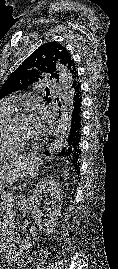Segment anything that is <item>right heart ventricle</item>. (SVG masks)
Instances as JSON below:
<instances>
[{"label": "right heart ventricle", "mask_w": 118, "mask_h": 269, "mask_svg": "<svg viewBox=\"0 0 118 269\" xmlns=\"http://www.w3.org/2000/svg\"><path fill=\"white\" fill-rule=\"evenodd\" d=\"M11 115V108L0 104V157L17 154L22 148L11 142L6 135L5 125Z\"/></svg>", "instance_id": "e07e8e85"}]
</instances>
